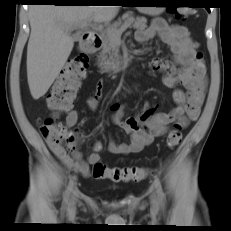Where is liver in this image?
I'll list each match as a JSON object with an SVG mask.
<instances>
[{
    "label": "liver",
    "instance_id": "obj_1",
    "mask_svg": "<svg viewBox=\"0 0 231 231\" xmlns=\"http://www.w3.org/2000/svg\"><path fill=\"white\" fill-rule=\"evenodd\" d=\"M118 6L33 5L29 8L31 34L27 47V78L37 100L45 95L74 47L70 31L83 22H108Z\"/></svg>",
    "mask_w": 231,
    "mask_h": 231
}]
</instances>
